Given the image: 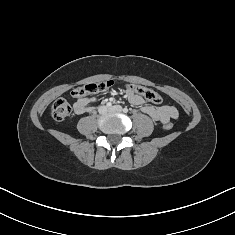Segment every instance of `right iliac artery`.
Returning <instances> with one entry per match:
<instances>
[{"instance_id":"1","label":"right iliac artery","mask_w":235,"mask_h":235,"mask_svg":"<svg viewBox=\"0 0 235 235\" xmlns=\"http://www.w3.org/2000/svg\"><path fill=\"white\" fill-rule=\"evenodd\" d=\"M106 106H107V107H111L112 104H111L110 102H108V103L106 104Z\"/></svg>"}]
</instances>
